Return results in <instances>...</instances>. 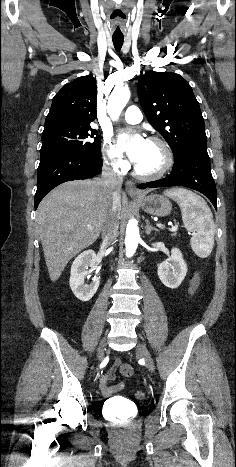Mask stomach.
Wrapping results in <instances>:
<instances>
[{
	"label": "stomach",
	"mask_w": 236,
	"mask_h": 467,
	"mask_svg": "<svg viewBox=\"0 0 236 467\" xmlns=\"http://www.w3.org/2000/svg\"><path fill=\"white\" fill-rule=\"evenodd\" d=\"M137 202L141 205L142 209L151 215L167 216L172 210L171 202L164 196L158 194H151L136 198Z\"/></svg>",
	"instance_id": "1"
}]
</instances>
